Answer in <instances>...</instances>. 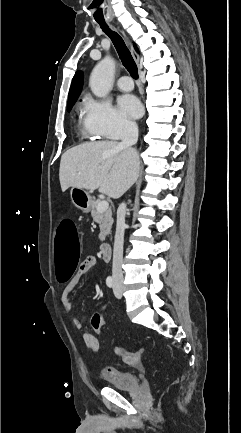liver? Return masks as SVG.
<instances>
[{
	"mask_svg": "<svg viewBox=\"0 0 241 433\" xmlns=\"http://www.w3.org/2000/svg\"><path fill=\"white\" fill-rule=\"evenodd\" d=\"M139 158L116 141L84 143L66 151L60 161L62 192L69 187L98 189L111 198L121 197L138 176Z\"/></svg>",
	"mask_w": 241,
	"mask_h": 433,
	"instance_id": "6515ba94",
	"label": "liver"
}]
</instances>
